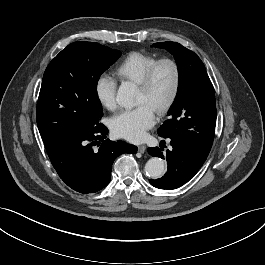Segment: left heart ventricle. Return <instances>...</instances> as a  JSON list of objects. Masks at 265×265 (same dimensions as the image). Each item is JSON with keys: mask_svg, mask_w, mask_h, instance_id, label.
I'll list each match as a JSON object with an SVG mask.
<instances>
[{"mask_svg": "<svg viewBox=\"0 0 265 265\" xmlns=\"http://www.w3.org/2000/svg\"><path fill=\"white\" fill-rule=\"evenodd\" d=\"M173 81L174 73L172 67L168 64L159 66L154 74L151 89L148 92L138 89L136 104H146L156 111L169 97Z\"/></svg>", "mask_w": 265, "mask_h": 265, "instance_id": "left-heart-ventricle-1", "label": "left heart ventricle"}]
</instances>
